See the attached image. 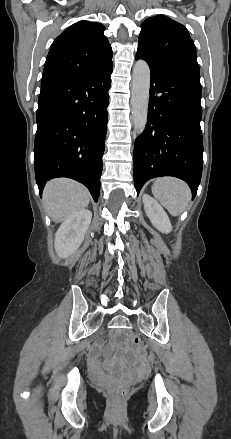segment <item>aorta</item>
Here are the masks:
<instances>
[{"label": "aorta", "instance_id": "obj_1", "mask_svg": "<svg viewBox=\"0 0 231 439\" xmlns=\"http://www.w3.org/2000/svg\"><path fill=\"white\" fill-rule=\"evenodd\" d=\"M131 108L135 131L145 129L148 116L150 68L146 61H136L132 74Z\"/></svg>", "mask_w": 231, "mask_h": 439}]
</instances>
